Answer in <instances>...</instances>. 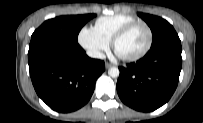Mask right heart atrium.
Returning a JSON list of instances; mask_svg holds the SVG:
<instances>
[{
  "label": "right heart atrium",
  "instance_id": "d8ad5b80",
  "mask_svg": "<svg viewBox=\"0 0 203 123\" xmlns=\"http://www.w3.org/2000/svg\"><path fill=\"white\" fill-rule=\"evenodd\" d=\"M78 42L94 58H102L109 49V42L101 37L93 27H83L79 31Z\"/></svg>",
  "mask_w": 203,
  "mask_h": 123
}]
</instances>
